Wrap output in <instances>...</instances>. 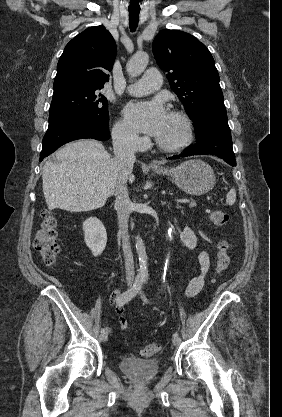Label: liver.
Wrapping results in <instances>:
<instances>
[{
    "mask_svg": "<svg viewBox=\"0 0 282 417\" xmlns=\"http://www.w3.org/2000/svg\"><path fill=\"white\" fill-rule=\"evenodd\" d=\"M57 162L43 166V192L49 211H94L104 206L117 186L118 166L99 140L82 138L56 152ZM129 182L135 180L128 174Z\"/></svg>",
    "mask_w": 282,
    "mask_h": 417,
    "instance_id": "1",
    "label": "liver"
}]
</instances>
